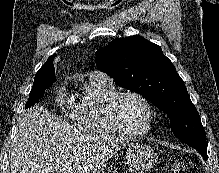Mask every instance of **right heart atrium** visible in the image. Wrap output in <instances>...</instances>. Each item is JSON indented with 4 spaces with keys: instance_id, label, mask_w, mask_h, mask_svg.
<instances>
[{
    "instance_id": "obj_1",
    "label": "right heart atrium",
    "mask_w": 219,
    "mask_h": 173,
    "mask_svg": "<svg viewBox=\"0 0 219 173\" xmlns=\"http://www.w3.org/2000/svg\"><path fill=\"white\" fill-rule=\"evenodd\" d=\"M56 100L60 106H67L68 98L65 86H60L56 92Z\"/></svg>"
}]
</instances>
